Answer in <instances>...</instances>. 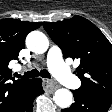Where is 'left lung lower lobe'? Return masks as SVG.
<instances>
[{
    "label": "left lung lower lobe",
    "instance_id": "0a47b994",
    "mask_svg": "<svg viewBox=\"0 0 112 112\" xmlns=\"http://www.w3.org/2000/svg\"><path fill=\"white\" fill-rule=\"evenodd\" d=\"M74 103L61 112H107L112 104V97L82 93L72 90Z\"/></svg>",
    "mask_w": 112,
    "mask_h": 112
}]
</instances>
